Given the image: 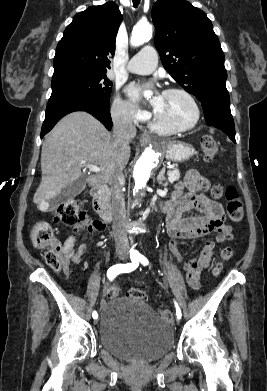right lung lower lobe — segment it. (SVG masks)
<instances>
[{"mask_svg":"<svg viewBox=\"0 0 267 391\" xmlns=\"http://www.w3.org/2000/svg\"><path fill=\"white\" fill-rule=\"evenodd\" d=\"M74 111H86L102 122L108 130L112 127L108 105L88 99L67 98L47 105L46 116L41 130V138L48 133L63 116Z\"/></svg>","mask_w":267,"mask_h":391,"instance_id":"obj_1","label":"right lung lower lobe"}]
</instances>
